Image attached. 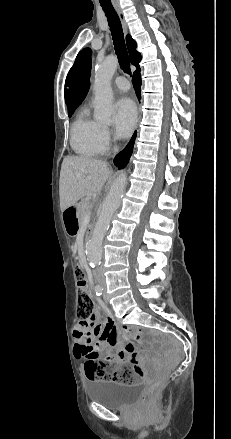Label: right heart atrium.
Segmentation results:
<instances>
[{"mask_svg": "<svg viewBox=\"0 0 231 439\" xmlns=\"http://www.w3.org/2000/svg\"><path fill=\"white\" fill-rule=\"evenodd\" d=\"M97 138L101 149H107L112 142L111 132L109 128L105 125L99 124Z\"/></svg>", "mask_w": 231, "mask_h": 439, "instance_id": "1", "label": "right heart atrium"}]
</instances>
